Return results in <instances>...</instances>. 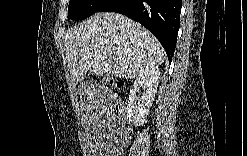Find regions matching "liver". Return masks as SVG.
<instances>
[{
  "instance_id": "liver-1",
  "label": "liver",
  "mask_w": 247,
  "mask_h": 156,
  "mask_svg": "<svg viewBox=\"0 0 247 156\" xmlns=\"http://www.w3.org/2000/svg\"><path fill=\"white\" fill-rule=\"evenodd\" d=\"M66 59L71 80L82 82L89 70L97 75L111 71L122 79L160 65L165 51L152 33L139 23L112 12L96 13L65 34Z\"/></svg>"
}]
</instances>
